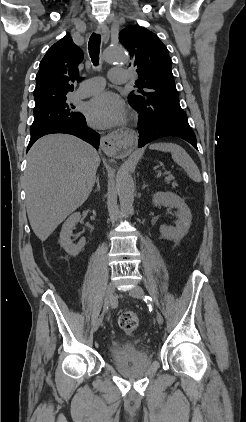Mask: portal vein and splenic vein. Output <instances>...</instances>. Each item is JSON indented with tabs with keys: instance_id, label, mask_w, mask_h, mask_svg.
<instances>
[{
	"instance_id": "18ae733b",
	"label": "portal vein and splenic vein",
	"mask_w": 246,
	"mask_h": 422,
	"mask_svg": "<svg viewBox=\"0 0 246 422\" xmlns=\"http://www.w3.org/2000/svg\"><path fill=\"white\" fill-rule=\"evenodd\" d=\"M169 173H170V172H167V171H166L164 174H169Z\"/></svg>"
}]
</instances>
